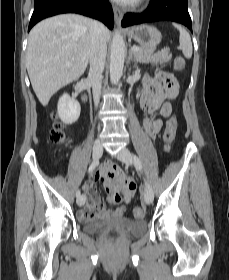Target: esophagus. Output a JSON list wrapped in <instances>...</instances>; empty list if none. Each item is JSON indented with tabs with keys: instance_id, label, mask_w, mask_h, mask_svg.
I'll list each match as a JSON object with an SVG mask.
<instances>
[{
	"instance_id": "34e87169",
	"label": "esophagus",
	"mask_w": 229,
	"mask_h": 280,
	"mask_svg": "<svg viewBox=\"0 0 229 280\" xmlns=\"http://www.w3.org/2000/svg\"><path fill=\"white\" fill-rule=\"evenodd\" d=\"M113 12L115 17V22L118 26H120L121 21L123 19V12L117 6H113Z\"/></svg>"
}]
</instances>
